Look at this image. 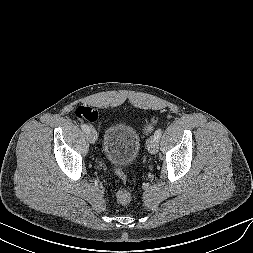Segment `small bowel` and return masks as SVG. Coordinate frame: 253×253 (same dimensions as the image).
<instances>
[{
    "mask_svg": "<svg viewBox=\"0 0 253 253\" xmlns=\"http://www.w3.org/2000/svg\"><path fill=\"white\" fill-rule=\"evenodd\" d=\"M97 117H98V114H97V112H96V116H95L94 120H95Z\"/></svg>",
    "mask_w": 253,
    "mask_h": 253,
    "instance_id": "c3829d8e",
    "label": "small bowel"
}]
</instances>
